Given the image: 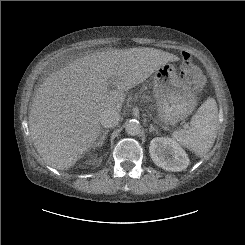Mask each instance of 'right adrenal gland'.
Listing matches in <instances>:
<instances>
[{
	"label": "right adrenal gland",
	"mask_w": 245,
	"mask_h": 245,
	"mask_svg": "<svg viewBox=\"0 0 245 245\" xmlns=\"http://www.w3.org/2000/svg\"><path fill=\"white\" fill-rule=\"evenodd\" d=\"M108 132L109 130H101L97 142H95L94 149H96L97 147H101L104 144Z\"/></svg>",
	"instance_id": "right-adrenal-gland-1"
}]
</instances>
